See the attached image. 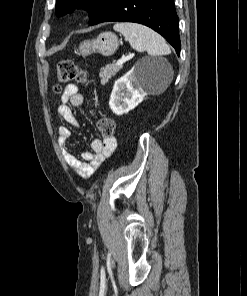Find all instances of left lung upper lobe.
<instances>
[{"label": "left lung upper lobe", "mask_w": 247, "mask_h": 296, "mask_svg": "<svg viewBox=\"0 0 247 296\" xmlns=\"http://www.w3.org/2000/svg\"><path fill=\"white\" fill-rule=\"evenodd\" d=\"M109 0H56V15L71 13L75 8L89 11V18H93Z\"/></svg>", "instance_id": "obj_1"}]
</instances>
